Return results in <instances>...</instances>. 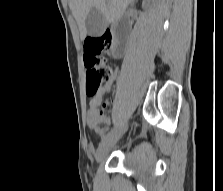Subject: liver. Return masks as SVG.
<instances>
[{"label": "liver", "mask_w": 223, "mask_h": 191, "mask_svg": "<svg viewBox=\"0 0 223 191\" xmlns=\"http://www.w3.org/2000/svg\"><path fill=\"white\" fill-rule=\"evenodd\" d=\"M132 1L134 0H69V7L84 39L87 33L85 19L92 8L101 11L106 21L111 23L122 17Z\"/></svg>", "instance_id": "obj_1"}]
</instances>
